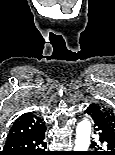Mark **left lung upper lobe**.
Instances as JSON below:
<instances>
[{
  "mask_svg": "<svg viewBox=\"0 0 115 155\" xmlns=\"http://www.w3.org/2000/svg\"><path fill=\"white\" fill-rule=\"evenodd\" d=\"M100 107L104 113V116L109 124V128H110L112 135L114 136V139H115V114L111 110H109L103 106H100Z\"/></svg>",
  "mask_w": 115,
  "mask_h": 155,
  "instance_id": "left-lung-upper-lobe-1",
  "label": "left lung upper lobe"
}]
</instances>
